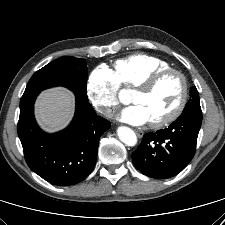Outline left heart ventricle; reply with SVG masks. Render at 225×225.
Returning <instances> with one entry per match:
<instances>
[{"label": "left heart ventricle", "mask_w": 225, "mask_h": 225, "mask_svg": "<svg viewBox=\"0 0 225 225\" xmlns=\"http://www.w3.org/2000/svg\"><path fill=\"white\" fill-rule=\"evenodd\" d=\"M181 92L180 81L175 75H168L149 92L135 90L131 101L141 105L150 121L158 120L168 114L177 104Z\"/></svg>", "instance_id": "b2bd125f"}]
</instances>
